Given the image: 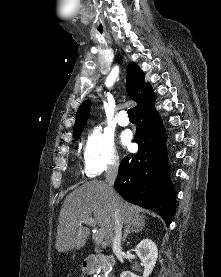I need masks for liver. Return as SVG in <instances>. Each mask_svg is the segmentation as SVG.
<instances>
[{"label":"liver","mask_w":221,"mask_h":277,"mask_svg":"<svg viewBox=\"0 0 221 277\" xmlns=\"http://www.w3.org/2000/svg\"><path fill=\"white\" fill-rule=\"evenodd\" d=\"M106 183L90 181L76 188L66 196L59 215L55 248L58 252L79 250L85 246L90 231L82 225V221L94 215L99 231L104 233L107 244L112 243V211L113 203L120 215L121 223L134 228L145 226V216L140 210L121 199L114 192L109 196ZM81 223V224H80Z\"/></svg>","instance_id":"liver-1"}]
</instances>
